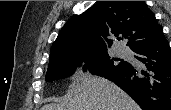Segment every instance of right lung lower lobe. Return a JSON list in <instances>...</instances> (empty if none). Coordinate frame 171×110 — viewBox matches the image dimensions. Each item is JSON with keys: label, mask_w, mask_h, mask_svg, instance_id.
Masks as SVG:
<instances>
[{"label": "right lung lower lobe", "mask_w": 171, "mask_h": 110, "mask_svg": "<svg viewBox=\"0 0 171 110\" xmlns=\"http://www.w3.org/2000/svg\"><path fill=\"white\" fill-rule=\"evenodd\" d=\"M142 65L130 63L103 77L128 93L143 110H171V50L163 35L133 50Z\"/></svg>", "instance_id": "98d812e1"}]
</instances>
